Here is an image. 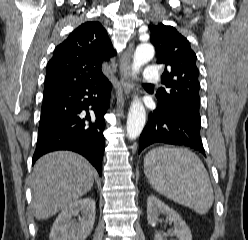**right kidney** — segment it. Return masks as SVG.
Instances as JSON below:
<instances>
[{
    "label": "right kidney",
    "mask_w": 248,
    "mask_h": 240,
    "mask_svg": "<svg viewBox=\"0 0 248 240\" xmlns=\"http://www.w3.org/2000/svg\"><path fill=\"white\" fill-rule=\"evenodd\" d=\"M95 209V201L90 197L70 203L54 221L50 240H85L94 226Z\"/></svg>",
    "instance_id": "1"
}]
</instances>
